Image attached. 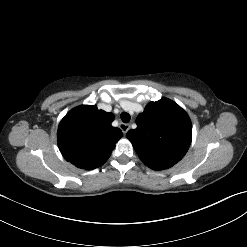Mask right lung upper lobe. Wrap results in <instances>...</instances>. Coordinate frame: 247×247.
I'll list each match as a JSON object with an SVG mask.
<instances>
[{"mask_svg": "<svg viewBox=\"0 0 247 247\" xmlns=\"http://www.w3.org/2000/svg\"><path fill=\"white\" fill-rule=\"evenodd\" d=\"M113 119L112 113L96 106L72 109L58 127L61 154L78 168L92 170L103 165L123 135L120 129L112 127Z\"/></svg>", "mask_w": 247, "mask_h": 247, "instance_id": "1", "label": "right lung upper lobe"}]
</instances>
